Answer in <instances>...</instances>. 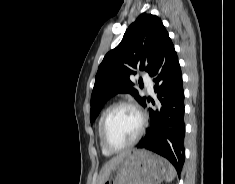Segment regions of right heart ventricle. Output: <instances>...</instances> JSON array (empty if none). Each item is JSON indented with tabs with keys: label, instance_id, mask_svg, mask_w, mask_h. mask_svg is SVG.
I'll return each instance as SVG.
<instances>
[{
	"label": "right heart ventricle",
	"instance_id": "obj_1",
	"mask_svg": "<svg viewBox=\"0 0 235 184\" xmlns=\"http://www.w3.org/2000/svg\"><path fill=\"white\" fill-rule=\"evenodd\" d=\"M105 115V112L102 113L100 119H99V122H98V140H99V143H100V132H101V126H102V121H103V117ZM100 146H101V149H102V152L104 155L106 156H111L112 154L105 151L104 148L102 147L101 143H100Z\"/></svg>",
	"mask_w": 235,
	"mask_h": 184
}]
</instances>
